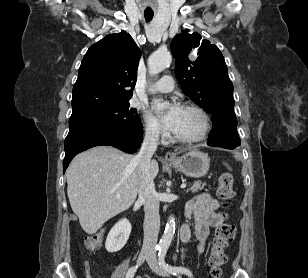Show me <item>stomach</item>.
Instances as JSON below:
<instances>
[{
    "instance_id": "stomach-1",
    "label": "stomach",
    "mask_w": 308,
    "mask_h": 278,
    "mask_svg": "<svg viewBox=\"0 0 308 278\" xmlns=\"http://www.w3.org/2000/svg\"><path fill=\"white\" fill-rule=\"evenodd\" d=\"M169 165L186 176L200 178L206 175L210 167V158L207 154L191 150L181 157L169 162Z\"/></svg>"
}]
</instances>
